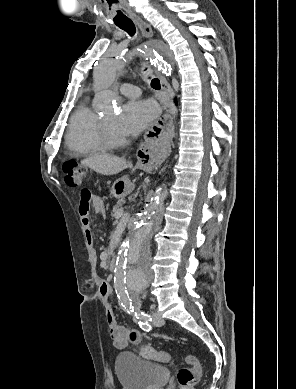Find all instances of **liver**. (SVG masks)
Wrapping results in <instances>:
<instances>
[{
    "mask_svg": "<svg viewBox=\"0 0 296 389\" xmlns=\"http://www.w3.org/2000/svg\"><path fill=\"white\" fill-rule=\"evenodd\" d=\"M81 164L102 175L118 174L129 167L123 158L102 154L89 156L83 159Z\"/></svg>",
    "mask_w": 296,
    "mask_h": 389,
    "instance_id": "1",
    "label": "liver"
}]
</instances>
